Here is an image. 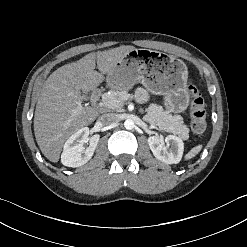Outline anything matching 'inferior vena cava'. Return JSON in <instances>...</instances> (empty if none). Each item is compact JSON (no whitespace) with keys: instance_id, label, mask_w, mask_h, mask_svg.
Here are the masks:
<instances>
[{"instance_id":"602c4592","label":"inferior vena cava","mask_w":247,"mask_h":247,"mask_svg":"<svg viewBox=\"0 0 247 247\" xmlns=\"http://www.w3.org/2000/svg\"><path fill=\"white\" fill-rule=\"evenodd\" d=\"M118 121H119L118 115H116L114 113H106V114H103L99 118V122L103 126H109V125L117 123Z\"/></svg>"}]
</instances>
